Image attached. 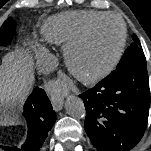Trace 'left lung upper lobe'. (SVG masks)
I'll use <instances>...</instances> for the list:
<instances>
[{
  "label": "left lung upper lobe",
  "instance_id": "5c2ea615",
  "mask_svg": "<svg viewBox=\"0 0 151 151\" xmlns=\"http://www.w3.org/2000/svg\"><path fill=\"white\" fill-rule=\"evenodd\" d=\"M132 39L133 43L126 49L124 55L116 67V70L135 62L146 64L145 55L138 37L133 34Z\"/></svg>",
  "mask_w": 151,
  "mask_h": 151
}]
</instances>
